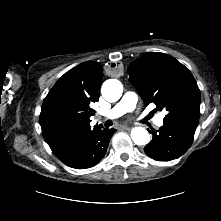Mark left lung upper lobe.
I'll use <instances>...</instances> for the list:
<instances>
[{"instance_id":"obj_1","label":"left lung upper lobe","mask_w":221,"mask_h":221,"mask_svg":"<svg viewBox=\"0 0 221 221\" xmlns=\"http://www.w3.org/2000/svg\"><path fill=\"white\" fill-rule=\"evenodd\" d=\"M146 105L166 110L164 121L199 120L200 90L191 72L175 58L148 52L127 70Z\"/></svg>"}]
</instances>
